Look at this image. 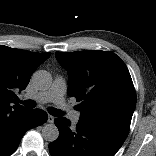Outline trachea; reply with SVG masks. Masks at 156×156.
Segmentation results:
<instances>
[{
    "mask_svg": "<svg viewBox=\"0 0 156 156\" xmlns=\"http://www.w3.org/2000/svg\"><path fill=\"white\" fill-rule=\"evenodd\" d=\"M21 103L28 108H34L36 106V103L33 100H24L21 101ZM48 112L56 117L62 116L64 114L61 110L54 107H49Z\"/></svg>",
    "mask_w": 156,
    "mask_h": 156,
    "instance_id": "obj_1",
    "label": "trachea"
}]
</instances>
